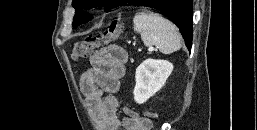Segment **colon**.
<instances>
[{
  "label": "colon",
  "mask_w": 257,
  "mask_h": 130,
  "mask_svg": "<svg viewBox=\"0 0 257 130\" xmlns=\"http://www.w3.org/2000/svg\"><path fill=\"white\" fill-rule=\"evenodd\" d=\"M120 31V25L117 20L113 21L108 30L94 37L87 38L77 42L72 48V58L80 60L87 58L93 54L99 47L106 43L109 39L116 36ZM146 119L156 118V114L150 111L145 112Z\"/></svg>",
  "instance_id": "obj_1"
}]
</instances>
